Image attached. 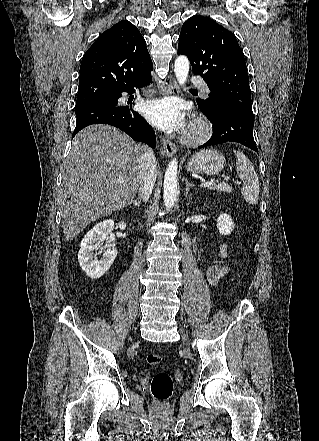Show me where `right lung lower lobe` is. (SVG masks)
<instances>
[{"instance_id": "1", "label": "right lung lower lobe", "mask_w": 319, "mask_h": 441, "mask_svg": "<svg viewBox=\"0 0 319 441\" xmlns=\"http://www.w3.org/2000/svg\"><path fill=\"white\" fill-rule=\"evenodd\" d=\"M152 82L151 72L137 82L124 87L113 96L90 103L75 110L77 122L72 138L84 127L91 124H109L115 126L134 140L144 142L155 148V133L152 127L132 110V107L117 105L122 92H134V87H143Z\"/></svg>"}]
</instances>
